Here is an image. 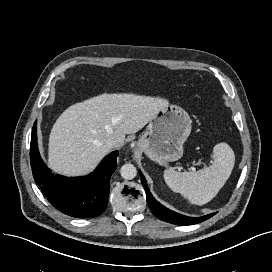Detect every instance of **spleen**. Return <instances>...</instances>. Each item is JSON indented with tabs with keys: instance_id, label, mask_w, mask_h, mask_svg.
Listing matches in <instances>:
<instances>
[{
	"instance_id": "3e777b00",
	"label": "spleen",
	"mask_w": 272,
	"mask_h": 272,
	"mask_svg": "<svg viewBox=\"0 0 272 272\" xmlns=\"http://www.w3.org/2000/svg\"><path fill=\"white\" fill-rule=\"evenodd\" d=\"M214 161L210 167L198 171H164L169 188L192 204L203 205L211 201L224 186L234 167L235 155L227 143H219L213 149Z\"/></svg>"
}]
</instances>
